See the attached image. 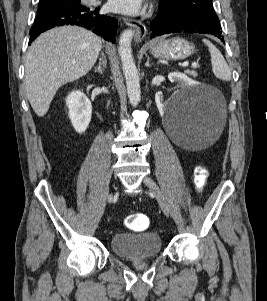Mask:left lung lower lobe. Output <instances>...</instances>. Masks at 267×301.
Masks as SVG:
<instances>
[{
	"label": "left lung lower lobe",
	"mask_w": 267,
	"mask_h": 301,
	"mask_svg": "<svg viewBox=\"0 0 267 301\" xmlns=\"http://www.w3.org/2000/svg\"><path fill=\"white\" fill-rule=\"evenodd\" d=\"M150 27L152 31L150 38L169 33H200L214 35L224 42L221 26L212 25L197 17H173L158 12V16L151 23Z\"/></svg>",
	"instance_id": "0a47b994"
}]
</instances>
